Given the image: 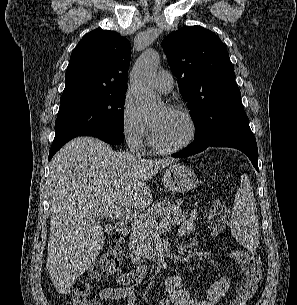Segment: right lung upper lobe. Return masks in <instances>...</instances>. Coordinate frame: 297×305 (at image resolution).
Returning a JSON list of instances; mask_svg holds the SVG:
<instances>
[{"mask_svg":"<svg viewBox=\"0 0 297 305\" xmlns=\"http://www.w3.org/2000/svg\"><path fill=\"white\" fill-rule=\"evenodd\" d=\"M130 42L120 34L96 29L87 33L71 53L61 99L127 90Z\"/></svg>","mask_w":297,"mask_h":305,"instance_id":"right-lung-upper-lobe-1","label":"right lung upper lobe"}]
</instances>
